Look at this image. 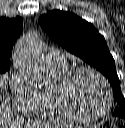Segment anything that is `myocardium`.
Wrapping results in <instances>:
<instances>
[{
  "mask_svg": "<svg viewBox=\"0 0 125 128\" xmlns=\"http://www.w3.org/2000/svg\"><path fill=\"white\" fill-rule=\"evenodd\" d=\"M86 72L97 77L104 87L107 102L104 109L98 114L83 113L77 108L71 97V86L73 82L80 74ZM57 93L63 107L71 114L72 117L81 122H93L105 117L110 112L113 103V95L107 79L98 70L89 66H80L68 71L58 84Z\"/></svg>",
  "mask_w": 125,
  "mask_h": 128,
  "instance_id": "f54148a6",
  "label": "myocardium"
}]
</instances>
